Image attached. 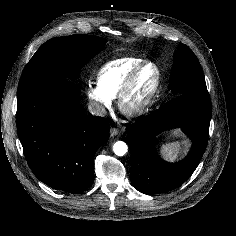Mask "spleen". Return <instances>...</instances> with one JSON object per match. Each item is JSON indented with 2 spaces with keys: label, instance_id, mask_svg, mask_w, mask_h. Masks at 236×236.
<instances>
[{
  "label": "spleen",
  "instance_id": "obj_1",
  "mask_svg": "<svg viewBox=\"0 0 236 236\" xmlns=\"http://www.w3.org/2000/svg\"><path fill=\"white\" fill-rule=\"evenodd\" d=\"M184 143V141H176L172 143L162 144L160 147L161 156L170 161L177 160Z\"/></svg>",
  "mask_w": 236,
  "mask_h": 236
}]
</instances>
